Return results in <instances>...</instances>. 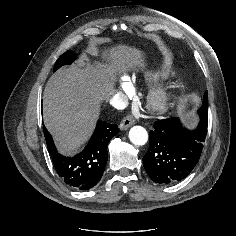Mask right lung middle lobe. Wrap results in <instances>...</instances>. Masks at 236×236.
I'll use <instances>...</instances> for the list:
<instances>
[{"instance_id": "1", "label": "right lung middle lobe", "mask_w": 236, "mask_h": 236, "mask_svg": "<svg viewBox=\"0 0 236 236\" xmlns=\"http://www.w3.org/2000/svg\"><path fill=\"white\" fill-rule=\"evenodd\" d=\"M75 59H76V55L74 54L73 51H66L56 61L55 66H54V71H56L57 69H59L63 65L71 64L72 61Z\"/></svg>"}]
</instances>
